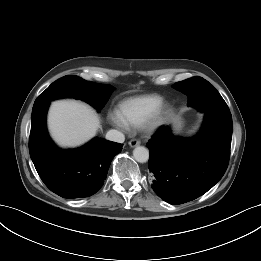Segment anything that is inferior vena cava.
<instances>
[{
    "instance_id": "inferior-vena-cava-1",
    "label": "inferior vena cava",
    "mask_w": 261,
    "mask_h": 261,
    "mask_svg": "<svg viewBox=\"0 0 261 261\" xmlns=\"http://www.w3.org/2000/svg\"><path fill=\"white\" fill-rule=\"evenodd\" d=\"M106 139L117 143H123L125 140V136L122 132L118 130H109L106 134Z\"/></svg>"
}]
</instances>
